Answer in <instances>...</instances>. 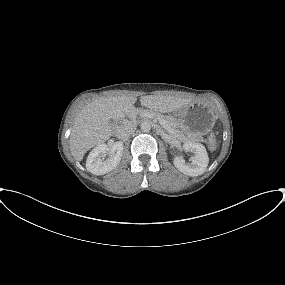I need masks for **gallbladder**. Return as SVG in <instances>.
Listing matches in <instances>:
<instances>
[{
  "label": "gallbladder",
  "instance_id": "gallbladder-1",
  "mask_svg": "<svg viewBox=\"0 0 285 285\" xmlns=\"http://www.w3.org/2000/svg\"><path fill=\"white\" fill-rule=\"evenodd\" d=\"M109 124L113 126V125H114V121L111 119V120L109 121Z\"/></svg>",
  "mask_w": 285,
  "mask_h": 285
}]
</instances>
